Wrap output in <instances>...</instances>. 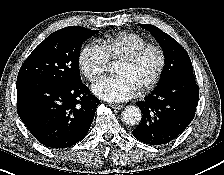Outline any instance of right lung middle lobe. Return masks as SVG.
I'll list each match as a JSON object with an SVG mask.
<instances>
[{
    "instance_id": "obj_1",
    "label": "right lung middle lobe",
    "mask_w": 224,
    "mask_h": 175,
    "mask_svg": "<svg viewBox=\"0 0 224 175\" xmlns=\"http://www.w3.org/2000/svg\"><path fill=\"white\" fill-rule=\"evenodd\" d=\"M96 33L98 30L69 26L50 34L25 60L17 79L40 78L62 84L82 82L80 49Z\"/></svg>"
}]
</instances>
